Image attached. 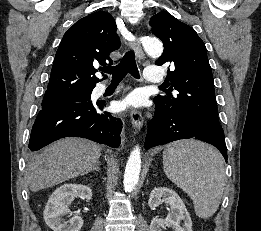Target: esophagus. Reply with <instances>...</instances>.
I'll return each instance as SVG.
<instances>
[{"instance_id": "obj_1", "label": "esophagus", "mask_w": 261, "mask_h": 231, "mask_svg": "<svg viewBox=\"0 0 261 231\" xmlns=\"http://www.w3.org/2000/svg\"><path fill=\"white\" fill-rule=\"evenodd\" d=\"M130 44L132 48L134 49L136 56L139 59L144 58V52L142 50V47L136 37H134L132 40H130ZM131 122L133 124V127L135 130H140L144 123V117L141 114V112L137 109H132L130 113Z\"/></svg>"}]
</instances>
